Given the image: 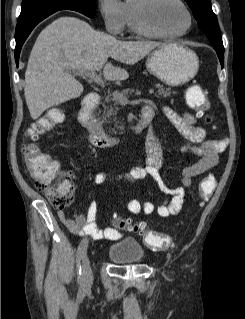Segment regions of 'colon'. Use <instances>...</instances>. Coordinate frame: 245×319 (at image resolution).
<instances>
[{
    "label": "colon",
    "mask_w": 245,
    "mask_h": 319,
    "mask_svg": "<svg viewBox=\"0 0 245 319\" xmlns=\"http://www.w3.org/2000/svg\"><path fill=\"white\" fill-rule=\"evenodd\" d=\"M188 106L198 115H205L206 122L214 125V117L210 114V102L204 89L199 86H190L186 91ZM64 119L61 109H51L43 117L31 125L28 137L32 140L45 134ZM25 167L34 181L36 188L43 191L51 205L58 209L69 207L74 199V186L69 172L60 169L59 163L48 154L40 151L33 143H27L22 149ZM216 185L212 174L206 175L200 183L199 194L207 199ZM116 227L122 230L138 233L147 247L165 249L173 246L169 235L161 234L149 228L144 221H133L126 217L116 216Z\"/></svg>",
    "instance_id": "1"
}]
</instances>
